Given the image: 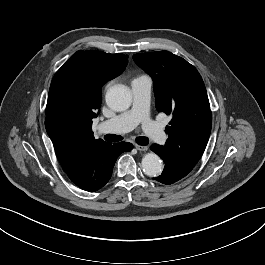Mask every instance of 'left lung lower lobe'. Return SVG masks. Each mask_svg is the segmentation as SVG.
Listing matches in <instances>:
<instances>
[{
	"label": "left lung lower lobe",
	"instance_id": "1",
	"mask_svg": "<svg viewBox=\"0 0 265 265\" xmlns=\"http://www.w3.org/2000/svg\"><path fill=\"white\" fill-rule=\"evenodd\" d=\"M150 148L152 151L158 154L165 162L162 174L156 178H153L154 180L166 185H170L187 175L179 171L171 162L165 160V151L163 150L162 146L158 144H153Z\"/></svg>",
	"mask_w": 265,
	"mask_h": 265
}]
</instances>
